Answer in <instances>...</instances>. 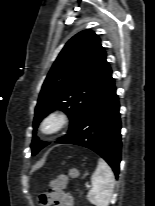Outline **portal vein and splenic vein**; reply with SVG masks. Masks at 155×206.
Instances as JSON below:
<instances>
[{
    "instance_id": "18ae733b",
    "label": "portal vein and splenic vein",
    "mask_w": 155,
    "mask_h": 206,
    "mask_svg": "<svg viewBox=\"0 0 155 206\" xmlns=\"http://www.w3.org/2000/svg\"><path fill=\"white\" fill-rule=\"evenodd\" d=\"M86 188H90V185L89 184H85Z\"/></svg>"
}]
</instances>
